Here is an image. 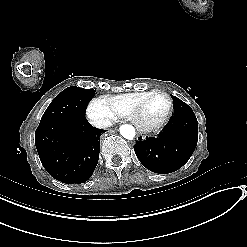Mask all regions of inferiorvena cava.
Returning <instances> with one entry per match:
<instances>
[{"instance_id": "obj_1", "label": "inferior vena cava", "mask_w": 247, "mask_h": 247, "mask_svg": "<svg viewBox=\"0 0 247 247\" xmlns=\"http://www.w3.org/2000/svg\"><path fill=\"white\" fill-rule=\"evenodd\" d=\"M113 123L111 120L99 119L94 121V126L98 129H105L108 126H111Z\"/></svg>"}]
</instances>
